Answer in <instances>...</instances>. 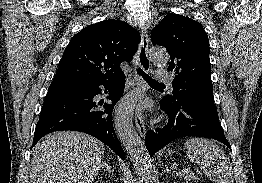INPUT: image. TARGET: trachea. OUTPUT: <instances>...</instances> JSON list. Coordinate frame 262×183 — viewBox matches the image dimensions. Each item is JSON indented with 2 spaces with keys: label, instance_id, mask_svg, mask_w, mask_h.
<instances>
[{
  "label": "trachea",
  "instance_id": "3493384b",
  "mask_svg": "<svg viewBox=\"0 0 262 183\" xmlns=\"http://www.w3.org/2000/svg\"><path fill=\"white\" fill-rule=\"evenodd\" d=\"M137 73L143 77V79L149 84V85H160L164 86L163 84L159 83L158 81L154 80L152 77L147 75L142 69L138 68Z\"/></svg>",
  "mask_w": 262,
  "mask_h": 183
}]
</instances>
